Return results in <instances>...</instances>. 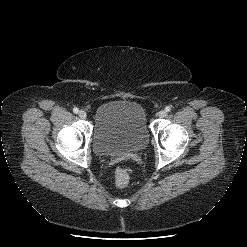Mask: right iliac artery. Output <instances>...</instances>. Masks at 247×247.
<instances>
[{"label":"right iliac artery","instance_id":"1","mask_svg":"<svg viewBox=\"0 0 247 247\" xmlns=\"http://www.w3.org/2000/svg\"><path fill=\"white\" fill-rule=\"evenodd\" d=\"M73 112L77 114L79 112V109L77 107H75V108H73Z\"/></svg>","mask_w":247,"mask_h":247}]
</instances>
